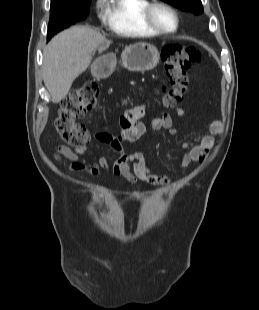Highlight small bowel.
Here are the masks:
<instances>
[{"instance_id": "small-bowel-1", "label": "small bowel", "mask_w": 259, "mask_h": 310, "mask_svg": "<svg viewBox=\"0 0 259 310\" xmlns=\"http://www.w3.org/2000/svg\"><path fill=\"white\" fill-rule=\"evenodd\" d=\"M143 112V106H137L127 111L120 118V128L117 132H99L94 136V139L110 146L118 154L113 166V175L115 177L123 178L130 185H134L138 181L152 186L166 185L175 178L151 173L147 169L141 153H127L125 150L126 143L136 141L145 132L144 125L139 121V117ZM176 112L179 116L184 115L182 108H176ZM150 126L154 131L166 130L171 136L177 133L173 121L167 113H161L152 119ZM207 128L211 135H199L192 141L183 143L182 147L185 149V153L176 168L185 170L192 162H202L207 158L217 143L215 136L222 133L223 126L219 121L215 120L209 122ZM50 157L58 165H61L64 159L69 160L71 162L68 167L69 172L80 171L86 176H99L109 165L108 157H90L87 148L83 147L72 150L67 146L58 145L54 152L50 154Z\"/></svg>"}]
</instances>
